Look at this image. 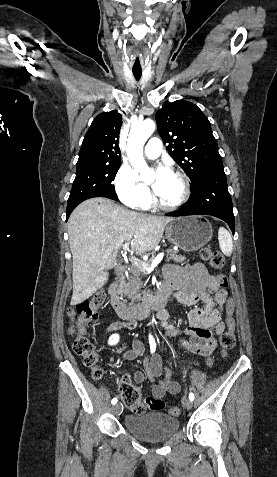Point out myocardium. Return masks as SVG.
<instances>
[{
  "label": "myocardium",
  "mask_w": 277,
  "mask_h": 477,
  "mask_svg": "<svg viewBox=\"0 0 277 477\" xmlns=\"http://www.w3.org/2000/svg\"><path fill=\"white\" fill-rule=\"evenodd\" d=\"M172 174H174L175 176H177L180 179V181L182 183L183 191H182V195H181L180 199L178 201H176L175 203H171V204L163 202L159 198V196L157 194H155V204L160 209L165 210V211H174V210H177V209L181 208L183 205H185L187 203V201L189 200L190 195H191V184H190V180H189L188 176L181 171H174V172H172Z\"/></svg>",
  "instance_id": "myocardium-1"
}]
</instances>
